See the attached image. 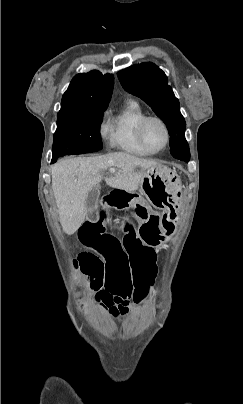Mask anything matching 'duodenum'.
Wrapping results in <instances>:
<instances>
[{"label":"duodenum","instance_id":"1","mask_svg":"<svg viewBox=\"0 0 243 404\" xmlns=\"http://www.w3.org/2000/svg\"><path fill=\"white\" fill-rule=\"evenodd\" d=\"M137 195L125 188H114L109 194L104 197V206L115 209H128L136 204Z\"/></svg>","mask_w":243,"mask_h":404}]
</instances>
